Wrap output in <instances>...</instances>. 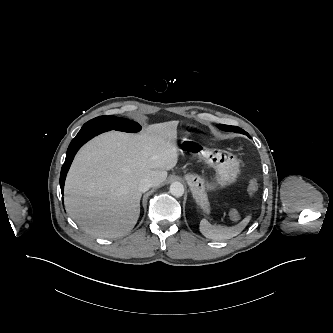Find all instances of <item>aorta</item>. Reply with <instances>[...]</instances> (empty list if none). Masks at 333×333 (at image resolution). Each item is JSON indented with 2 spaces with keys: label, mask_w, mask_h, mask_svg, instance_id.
<instances>
[{
  "label": "aorta",
  "mask_w": 333,
  "mask_h": 333,
  "mask_svg": "<svg viewBox=\"0 0 333 333\" xmlns=\"http://www.w3.org/2000/svg\"><path fill=\"white\" fill-rule=\"evenodd\" d=\"M170 193L175 197H181L184 194V186L180 182H173L170 185Z\"/></svg>",
  "instance_id": "762f6f07"
}]
</instances>
